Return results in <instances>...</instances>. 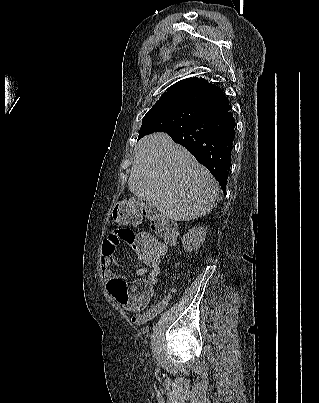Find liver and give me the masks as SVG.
Listing matches in <instances>:
<instances>
[{"instance_id": "obj_1", "label": "liver", "mask_w": 319, "mask_h": 403, "mask_svg": "<svg viewBox=\"0 0 319 403\" xmlns=\"http://www.w3.org/2000/svg\"><path fill=\"white\" fill-rule=\"evenodd\" d=\"M128 188L175 221L208 214L219 196L218 183L207 168L161 132L145 136L135 146Z\"/></svg>"}]
</instances>
